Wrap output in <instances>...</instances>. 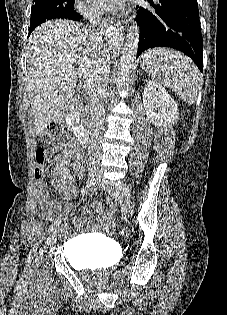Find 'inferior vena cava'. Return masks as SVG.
<instances>
[{
  "label": "inferior vena cava",
  "mask_w": 227,
  "mask_h": 315,
  "mask_svg": "<svg viewBox=\"0 0 227 315\" xmlns=\"http://www.w3.org/2000/svg\"><path fill=\"white\" fill-rule=\"evenodd\" d=\"M84 17L87 18L91 24L90 29L94 31L93 27L100 22V13L97 9L91 8L84 11ZM110 72V55L104 60H99L93 73L92 81L90 83L89 95V115H90V153L99 151V137L104 130L105 121V98L108 87V76Z\"/></svg>",
  "instance_id": "obj_1"
}]
</instances>
